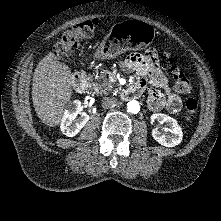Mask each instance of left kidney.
<instances>
[{
  "label": "left kidney",
  "instance_id": "obj_1",
  "mask_svg": "<svg viewBox=\"0 0 221 221\" xmlns=\"http://www.w3.org/2000/svg\"><path fill=\"white\" fill-rule=\"evenodd\" d=\"M155 120L161 123H168L169 128H167V131L171 133L170 135H165L160 132L158 128H154L152 130V136L159 144L165 147H174L181 143L183 132L180 125L174 118L166 114L158 113L151 116V121L154 122Z\"/></svg>",
  "mask_w": 221,
  "mask_h": 221
}]
</instances>
